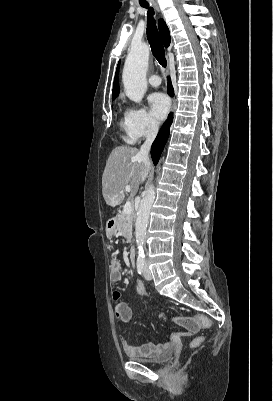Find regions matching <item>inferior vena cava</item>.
I'll list each match as a JSON object with an SVG mask.
<instances>
[{"label":"inferior vena cava","instance_id":"1","mask_svg":"<svg viewBox=\"0 0 273 401\" xmlns=\"http://www.w3.org/2000/svg\"><path fill=\"white\" fill-rule=\"evenodd\" d=\"M158 132V126H154V124H151V126H149L147 132H146V140L144 142V144H142L140 150H139V154L145 164V168L142 172V180H145L147 174H148V170L150 168V162H149V150L151 148V144L156 136Z\"/></svg>","mask_w":273,"mask_h":401}]
</instances>
